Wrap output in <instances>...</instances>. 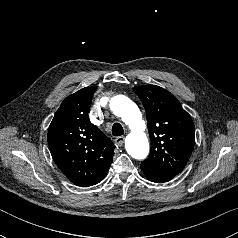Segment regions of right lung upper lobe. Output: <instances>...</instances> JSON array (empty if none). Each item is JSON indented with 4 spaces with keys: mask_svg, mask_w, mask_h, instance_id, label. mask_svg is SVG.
Segmentation results:
<instances>
[{
    "mask_svg": "<svg viewBox=\"0 0 238 238\" xmlns=\"http://www.w3.org/2000/svg\"><path fill=\"white\" fill-rule=\"evenodd\" d=\"M97 87H85L65 98L48 130L52 158L75 185L99 183L113 160L114 144L93 125L88 112Z\"/></svg>",
    "mask_w": 238,
    "mask_h": 238,
    "instance_id": "cb5924a9",
    "label": "right lung upper lobe"
}]
</instances>
